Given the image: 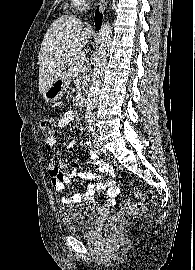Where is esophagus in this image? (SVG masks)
Listing matches in <instances>:
<instances>
[{
    "label": "esophagus",
    "instance_id": "34e87169",
    "mask_svg": "<svg viewBox=\"0 0 195 270\" xmlns=\"http://www.w3.org/2000/svg\"><path fill=\"white\" fill-rule=\"evenodd\" d=\"M109 0H100V10L104 11Z\"/></svg>",
    "mask_w": 195,
    "mask_h": 270
}]
</instances>
